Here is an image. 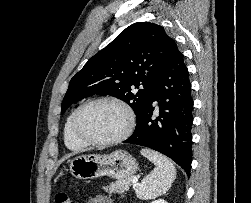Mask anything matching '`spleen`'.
Instances as JSON below:
<instances>
[{
    "label": "spleen",
    "mask_w": 251,
    "mask_h": 203,
    "mask_svg": "<svg viewBox=\"0 0 251 203\" xmlns=\"http://www.w3.org/2000/svg\"><path fill=\"white\" fill-rule=\"evenodd\" d=\"M141 154L148 158L154 165V170L148 174L136 188L139 199L150 200L166 193L176 178V169L166 156L143 148Z\"/></svg>",
    "instance_id": "1"
}]
</instances>
